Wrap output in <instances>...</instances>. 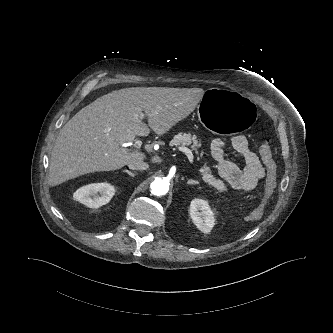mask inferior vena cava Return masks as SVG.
Listing matches in <instances>:
<instances>
[{
  "mask_svg": "<svg viewBox=\"0 0 333 333\" xmlns=\"http://www.w3.org/2000/svg\"><path fill=\"white\" fill-rule=\"evenodd\" d=\"M128 167L131 169V170H140V171H144V170H147L149 165L144 162V161H141V160H138V161H132L128 164Z\"/></svg>",
  "mask_w": 333,
  "mask_h": 333,
  "instance_id": "1",
  "label": "inferior vena cava"
}]
</instances>
